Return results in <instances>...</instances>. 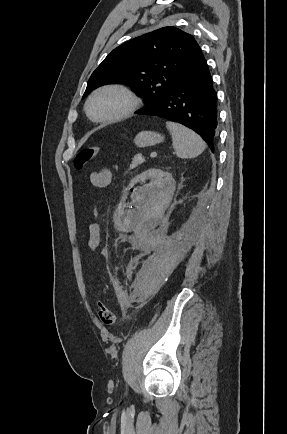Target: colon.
I'll use <instances>...</instances> for the list:
<instances>
[{
  "label": "colon",
  "mask_w": 287,
  "mask_h": 434,
  "mask_svg": "<svg viewBox=\"0 0 287 434\" xmlns=\"http://www.w3.org/2000/svg\"><path fill=\"white\" fill-rule=\"evenodd\" d=\"M100 151V147L96 145L83 147L78 151L74 158V167L83 169ZM98 317L101 323L105 326H112L115 323V314L110 307L105 303L98 304Z\"/></svg>",
  "instance_id": "1"
}]
</instances>
